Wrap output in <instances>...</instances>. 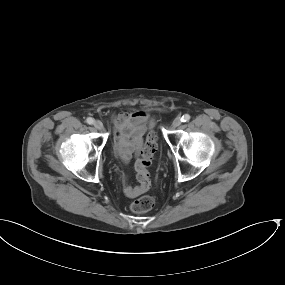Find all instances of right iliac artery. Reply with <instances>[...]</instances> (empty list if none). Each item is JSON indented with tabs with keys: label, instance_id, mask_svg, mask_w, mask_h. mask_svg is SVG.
Returning <instances> with one entry per match:
<instances>
[{
	"label": "right iliac artery",
	"instance_id": "right-iliac-artery-1",
	"mask_svg": "<svg viewBox=\"0 0 285 285\" xmlns=\"http://www.w3.org/2000/svg\"><path fill=\"white\" fill-rule=\"evenodd\" d=\"M86 122L91 125V124L94 123V119L91 118V117H88V118L86 119Z\"/></svg>",
	"mask_w": 285,
	"mask_h": 285
}]
</instances>
